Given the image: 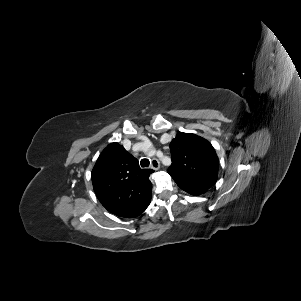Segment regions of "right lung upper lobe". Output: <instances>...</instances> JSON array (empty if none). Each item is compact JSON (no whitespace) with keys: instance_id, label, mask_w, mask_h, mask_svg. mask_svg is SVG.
I'll return each mask as SVG.
<instances>
[{"instance_id":"obj_1","label":"right lung upper lobe","mask_w":301,"mask_h":301,"mask_svg":"<svg viewBox=\"0 0 301 301\" xmlns=\"http://www.w3.org/2000/svg\"><path fill=\"white\" fill-rule=\"evenodd\" d=\"M152 169H141L138 160L118 143L109 144L92 170L97 198L111 213L126 218L141 215L151 201Z\"/></svg>"}]
</instances>
